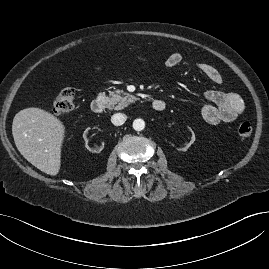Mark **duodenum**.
<instances>
[{"label":"duodenum","mask_w":269,"mask_h":269,"mask_svg":"<svg viewBox=\"0 0 269 269\" xmlns=\"http://www.w3.org/2000/svg\"><path fill=\"white\" fill-rule=\"evenodd\" d=\"M106 106V97L98 96L91 103V109L94 113L99 114L102 113ZM152 108L155 112H162L166 108V102L162 99H158L153 101Z\"/></svg>","instance_id":"obj_1"}]
</instances>
